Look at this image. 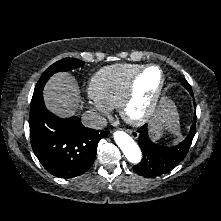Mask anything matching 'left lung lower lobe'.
I'll list each match as a JSON object with an SVG mask.
<instances>
[{"mask_svg": "<svg viewBox=\"0 0 221 221\" xmlns=\"http://www.w3.org/2000/svg\"><path fill=\"white\" fill-rule=\"evenodd\" d=\"M193 96V93H191ZM196 132V112L188 136L178 145L163 147L154 144L148 136L147 125L139 129L138 144L142 159L133 170L145 177H156L171 171L187 155Z\"/></svg>", "mask_w": 221, "mask_h": 221, "instance_id": "0a47b994", "label": "left lung lower lobe"}]
</instances>
